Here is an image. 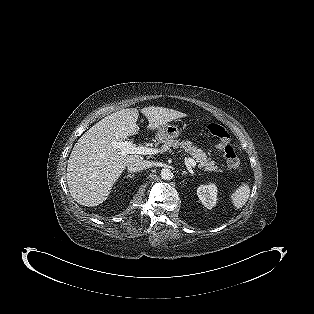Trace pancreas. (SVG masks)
Masks as SVG:
<instances>
[{
    "mask_svg": "<svg viewBox=\"0 0 314 314\" xmlns=\"http://www.w3.org/2000/svg\"><path fill=\"white\" fill-rule=\"evenodd\" d=\"M171 148L181 150L189 153L193 159L198 163V167L204 171H219V167L215 165V161H212L206 153L199 149L197 146L193 145L191 141L178 142L174 139H167L163 141V152L171 151Z\"/></svg>",
    "mask_w": 314,
    "mask_h": 314,
    "instance_id": "cf45deb5",
    "label": "pancreas"
}]
</instances>
